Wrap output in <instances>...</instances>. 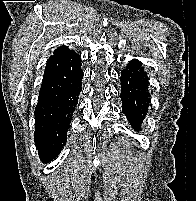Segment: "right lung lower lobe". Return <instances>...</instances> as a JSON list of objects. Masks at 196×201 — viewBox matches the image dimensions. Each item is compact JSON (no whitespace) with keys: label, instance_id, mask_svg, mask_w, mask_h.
Instances as JSON below:
<instances>
[{"label":"right lung lower lobe","instance_id":"98d812e1","mask_svg":"<svg viewBox=\"0 0 196 201\" xmlns=\"http://www.w3.org/2000/svg\"><path fill=\"white\" fill-rule=\"evenodd\" d=\"M83 72L78 54L51 56L46 64L35 109V146L43 163L60 154L78 104Z\"/></svg>","mask_w":196,"mask_h":201}]
</instances>
